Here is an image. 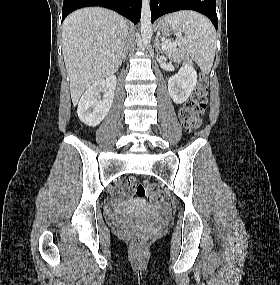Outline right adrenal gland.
Returning <instances> with one entry per match:
<instances>
[{"mask_svg":"<svg viewBox=\"0 0 280 285\" xmlns=\"http://www.w3.org/2000/svg\"><path fill=\"white\" fill-rule=\"evenodd\" d=\"M128 46H129V39L125 43L124 51L122 54V60L126 58V53L128 52Z\"/></svg>","mask_w":280,"mask_h":285,"instance_id":"2a0ac1e0","label":"right adrenal gland"}]
</instances>
